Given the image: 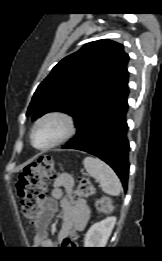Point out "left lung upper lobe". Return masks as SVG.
<instances>
[{
    "mask_svg": "<svg viewBox=\"0 0 162 261\" xmlns=\"http://www.w3.org/2000/svg\"><path fill=\"white\" fill-rule=\"evenodd\" d=\"M129 56L111 40L85 44L62 59L33 95L32 120L53 111L71 115L78 129L99 107L128 83Z\"/></svg>",
    "mask_w": 162,
    "mask_h": 261,
    "instance_id": "5c2ea615",
    "label": "left lung upper lobe"
}]
</instances>
